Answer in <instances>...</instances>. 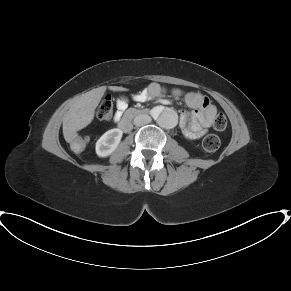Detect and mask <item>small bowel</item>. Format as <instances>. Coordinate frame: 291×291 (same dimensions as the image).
<instances>
[{"instance_id":"1","label":"small bowel","mask_w":291,"mask_h":291,"mask_svg":"<svg viewBox=\"0 0 291 291\" xmlns=\"http://www.w3.org/2000/svg\"><path fill=\"white\" fill-rule=\"evenodd\" d=\"M165 93L157 83H152L145 93H141L135 97L137 101H144L150 98H156ZM175 96L183 97L185 104L192 109L191 112H182L180 115V127L184 135L191 140L201 138L208 130L212 121L217 114V107L212 104L209 99L196 90L184 93H172ZM127 104L125 101L118 102V111L115 119L118 120Z\"/></svg>"}]
</instances>
